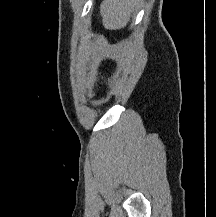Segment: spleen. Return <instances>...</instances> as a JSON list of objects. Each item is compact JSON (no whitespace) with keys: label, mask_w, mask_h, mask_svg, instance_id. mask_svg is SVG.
<instances>
[{"label":"spleen","mask_w":216,"mask_h":217,"mask_svg":"<svg viewBox=\"0 0 216 217\" xmlns=\"http://www.w3.org/2000/svg\"><path fill=\"white\" fill-rule=\"evenodd\" d=\"M138 0H103L100 5L102 22L106 29H121L126 26Z\"/></svg>","instance_id":"1"}]
</instances>
